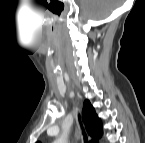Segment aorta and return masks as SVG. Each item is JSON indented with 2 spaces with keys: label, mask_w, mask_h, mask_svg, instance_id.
Returning a JSON list of instances; mask_svg holds the SVG:
<instances>
[{
  "label": "aorta",
  "mask_w": 145,
  "mask_h": 143,
  "mask_svg": "<svg viewBox=\"0 0 145 143\" xmlns=\"http://www.w3.org/2000/svg\"><path fill=\"white\" fill-rule=\"evenodd\" d=\"M64 141H65L64 137H61L56 140V143H64Z\"/></svg>",
  "instance_id": "aorta-1"
}]
</instances>
